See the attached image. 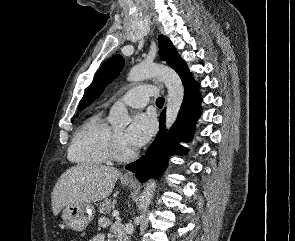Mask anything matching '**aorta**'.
<instances>
[{
  "instance_id": "obj_1",
  "label": "aorta",
  "mask_w": 295,
  "mask_h": 241,
  "mask_svg": "<svg viewBox=\"0 0 295 241\" xmlns=\"http://www.w3.org/2000/svg\"><path fill=\"white\" fill-rule=\"evenodd\" d=\"M156 77L167 87V106L165 125L167 131L173 126L184 99V86L179 75L171 68L158 65L141 63L131 68L127 80L137 82L147 78ZM127 108L122 102L115 103L110 109L108 121L113 127L125 128L130 123ZM156 182L149 179L140 197V210H145L153 199Z\"/></svg>"
}]
</instances>
